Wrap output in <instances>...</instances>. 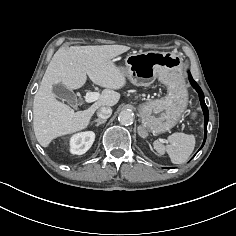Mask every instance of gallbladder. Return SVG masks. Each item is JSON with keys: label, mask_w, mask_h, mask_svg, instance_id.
<instances>
[{"label": "gallbladder", "mask_w": 236, "mask_h": 236, "mask_svg": "<svg viewBox=\"0 0 236 236\" xmlns=\"http://www.w3.org/2000/svg\"><path fill=\"white\" fill-rule=\"evenodd\" d=\"M52 91L56 98L66 101L73 107L77 106L78 101L75 93L65 87L62 83L53 85Z\"/></svg>", "instance_id": "gallbladder-1"}]
</instances>
